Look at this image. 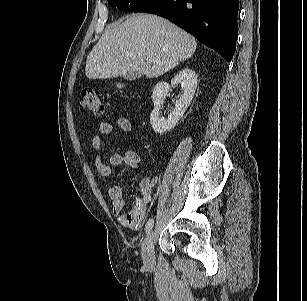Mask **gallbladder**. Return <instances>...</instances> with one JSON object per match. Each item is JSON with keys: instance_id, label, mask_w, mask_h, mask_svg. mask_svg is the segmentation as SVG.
I'll list each match as a JSON object with an SVG mask.
<instances>
[{"instance_id": "gallbladder-1", "label": "gallbladder", "mask_w": 307, "mask_h": 301, "mask_svg": "<svg viewBox=\"0 0 307 301\" xmlns=\"http://www.w3.org/2000/svg\"><path fill=\"white\" fill-rule=\"evenodd\" d=\"M141 76V74L137 71H130V72H127L123 75V78L128 80V81H132V80H135L137 78H139Z\"/></svg>"}]
</instances>
